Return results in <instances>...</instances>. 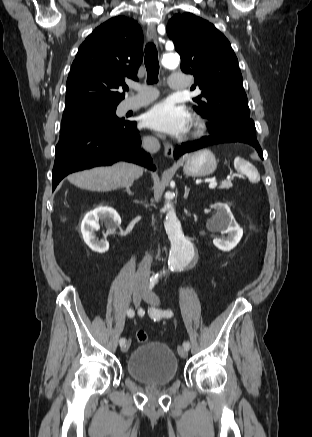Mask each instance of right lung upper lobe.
Masks as SVG:
<instances>
[{"mask_svg": "<svg viewBox=\"0 0 312 437\" xmlns=\"http://www.w3.org/2000/svg\"><path fill=\"white\" fill-rule=\"evenodd\" d=\"M143 34L133 19L117 16L97 27L79 47L67 79L66 108L118 105L125 78L137 80ZM65 108V109H66Z\"/></svg>", "mask_w": 312, "mask_h": 437, "instance_id": "cb5924a9", "label": "right lung upper lobe"}]
</instances>
